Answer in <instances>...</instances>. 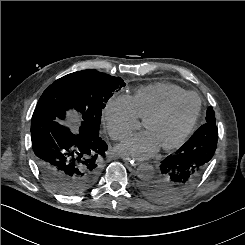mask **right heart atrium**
<instances>
[{"instance_id":"right-heart-atrium-1","label":"right heart atrium","mask_w":245,"mask_h":245,"mask_svg":"<svg viewBox=\"0 0 245 245\" xmlns=\"http://www.w3.org/2000/svg\"><path fill=\"white\" fill-rule=\"evenodd\" d=\"M138 119L132 97L114 94L105 103L102 121L114 140L127 137Z\"/></svg>"}]
</instances>
